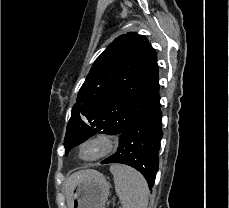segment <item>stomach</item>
Returning a JSON list of instances; mask_svg holds the SVG:
<instances>
[{
	"label": "stomach",
	"mask_w": 229,
	"mask_h": 208,
	"mask_svg": "<svg viewBox=\"0 0 229 208\" xmlns=\"http://www.w3.org/2000/svg\"><path fill=\"white\" fill-rule=\"evenodd\" d=\"M109 196V186L105 178L98 176L75 186L68 208H105Z\"/></svg>",
	"instance_id": "stomach-1"
}]
</instances>
